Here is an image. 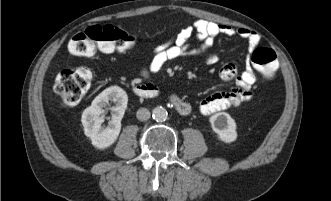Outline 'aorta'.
Segmentation results:
<instances>
[{"label":"aorta","mask_w":331,"mask_h":201,"mask_svg":"<svg viewBox=\"0 0 331 201\" xmlns=\"http://www.w3.org/2000/svg\"><path fill=\"white\" fill-rule=\"evenodd\" d=\"M152 117L157 122L165 121L168 117L167 110L162 106H157L152 111Z\"/></svg>","instance_id":"obj_1"}]
</instances>
